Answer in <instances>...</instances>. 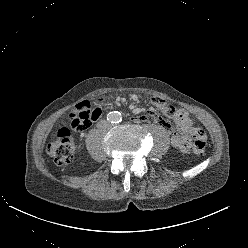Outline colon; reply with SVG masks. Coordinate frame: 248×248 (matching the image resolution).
<instances>
[{
	"instance_id": "obj_1",
	"label": "colon",
	"mask_w": 248,
	"mask_h": 248,
	"mask_svg": "<svg viewBox=\"0 0 248 248\" xmlns=\"http://www.w3.org/2000/svg\"><path fill=\"white\" fill-rule=\"evenodd\" d=\"M99 112L98 107H93L90 102L82 101L74 106L69 113L71 127L77 131L87 130L96 119ZM192 151L196 155L203 154L206 147V134L201 129H195L192 133ZM49 155L61 166L72 162L75 152V143L67 128L58 130L56 137L48 144Z\"/></svg>"
}]
</instances>
